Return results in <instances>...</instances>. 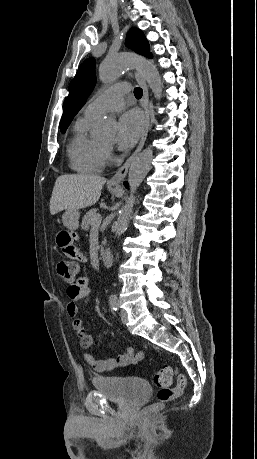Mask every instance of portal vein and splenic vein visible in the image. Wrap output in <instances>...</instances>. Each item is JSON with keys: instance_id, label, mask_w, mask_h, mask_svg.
Instances as JSON below:
<instances>
[{"instance_id": "18ae733b", "label": "portal vein and splenic vein", "mask_w": 257, "mask_h": 459, "mask_svg": "<svg viewBox=\"0 0 257 459\" xmlns=\"http://www.w3.org/2000/svg\"><path fill=\"white\" fill-rule=\"evenodd\" d=\"M101 221H102V217L101 215L99 214L97 216V218H95L94 222H93V226H99L101 224Z\"/></svg>"}]
</instances>
